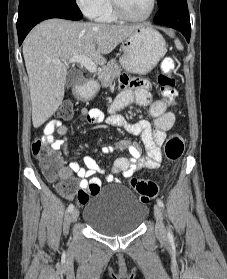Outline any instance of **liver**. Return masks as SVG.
Instances as JSON below:
<instances>
[{"label": "liver", "mask_w": 227, "mask_h": 279, "mask_svg": "<svg viewBox=\"0 0 227 279\" xmlns=\"http://www.w3.org/2000/svg\"><path fill=\"white\" fill-rule=\"evenodd\" d=\"M139 28L63 19H48L35 26L23 43L34 128L44 124L62 103L71 57L86 55L103 65L105 56Z\"/></svg>", "instance_id": "1"}]
</instances>
